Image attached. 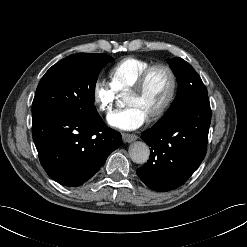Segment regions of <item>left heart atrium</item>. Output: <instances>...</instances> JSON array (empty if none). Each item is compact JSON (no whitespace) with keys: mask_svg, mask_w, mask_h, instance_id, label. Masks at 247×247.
I'll use <instances>...</instances> for the list:
<instances>
[{"mask_svg":"<svg viewBox=\"0 0 247 247\" xmlns=\"http://www.w3.org/2000/svg\"><path fill=\"white\" fill-rule=\"evenodd\" d=\"M148 119L146 113L137 106H129L113 112L108 123L120 130L131 131L141 127Z\"/></svg>","mask_w":247,"mask_h":247,"instance_id":"obj_1","label":"left heart atrium"}]
</instances>
